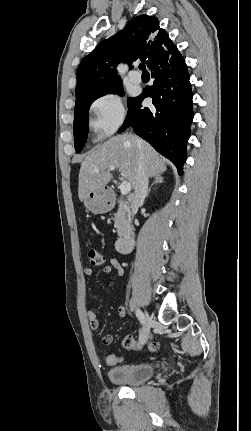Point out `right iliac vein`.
<instances>
[{
  "instance_id": "1",
  "label": "right iliac vein",
  "mask_w": 251,
  "mask_h": 431,
  "mask_svg": "<svg viewBox=\"0 0 251 431\" xmlns=\"http://www.w3.org/2000/svg\"><path fill=\"white\" fill-rule=\"evenodd\" d=\"M145 322L140 334V341L141 343H146L149 336H150V323H151V318L149 316V314L145 311Z\"/></svg>"
}]
</instances>
